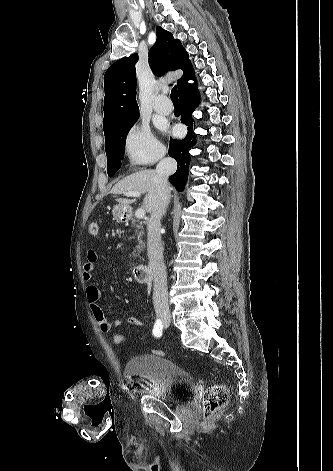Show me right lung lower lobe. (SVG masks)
Listing matches in <instances>:
<instances>
[{
	"label": "right lung lower lobe",
	"instance_id": "98d812e1",
	"mask_svg": "<svg viewBox=\"0 0 333 471\" xmlns=\"http://www.w3.org/2000/svg\"><path fill=\"white\" fill-rule=\"evenodd\" d=\"M195 80V78H193ZM182 107L181 122L188 126V133L185 139L178 141L170 139L169 155L173 157L177 163V171L169 177V181L179 191L185 188L186 179L188 178L189 153L188 149L191 145H195L196 137L193 134V118L192 113L199 106L200 97L197 89L196 80L194 84H188L179 95Z\"/></svg>",
	"mask_w": 333,
	"mask_h": 471
}]
</instances>
